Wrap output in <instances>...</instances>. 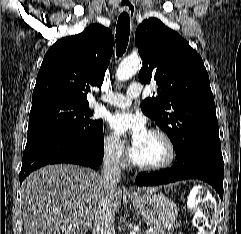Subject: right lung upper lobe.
<instances>
[{"instance_id": "cb5924a9", "label": "right lung upper lobe", "mask_w": 241, "mask_h": 234, "mask_svg": "<svg viewBox=\"0 0 241 234\" xmlns=\"http://www.w3.org/2000/svg\"><path fill=\"white\" fill-rule=\"evenodd\" d=\"M112 50V32L101 24L58 40L44 56L32 105L50 101L88 104L89 88L102 85Z\"/></svg>"}]
</instances>
